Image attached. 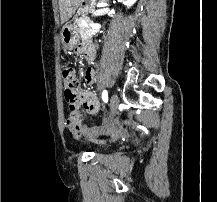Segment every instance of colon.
<instances>
[{
	"label": "colon",
	"mask_w": 217,
	"mask_h": 202,
	"mask_svg": "<svg viewBox=\"0 0 217 202\" xmlns=\"http://www.w3.org/2000/svg\"><path fill=\"white\" fill-rule=\"evenodd\" d=\"M61 74H63V90H64V96L65 100L68 104V107L70 111L74 112L77 110V108L81 105L82 102H85L84 96H77L82 95V90H75V87H73V82H78V77L75 72L72 71V69H61ZM77 117H72L71 115L66 118V126L69 129V131H74V126L77 125L78 122ZM130 121L126 120L125 125H129ZM81 131L83 132V136L85 138H90L91 130L87 129V124L83 123L81 127Z\"/></svg>",
	"instance_id": "1"
}]
</instances>
